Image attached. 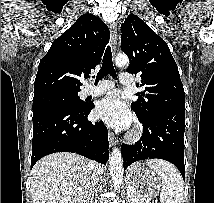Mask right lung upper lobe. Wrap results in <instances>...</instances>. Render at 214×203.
<instances>
[{"label":"right lung upper lobe","mask_w":214,"mask_h":203,"mask_svg":"<svg viewBox=\"0 0 214 203\" xmlns=\"http://www.w3.org/2000/svg\"><path fill=\"white\" fill-rule=\"evenodd\" d=\"M110 38L98 17L84 14L52 43L40 60L34 82V98L56 93H78L80 77L101 62Z\"/></svg>","instance_id":"cb5924a9"}]
</instances>
